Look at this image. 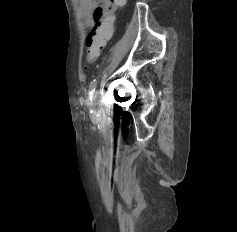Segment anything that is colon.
Here are the masks:
<instances>
[{
    "mask_svg": "<svg viewBox=\"0 0 237 232\" xmlns=\"http://www.w3.org/2000/svg\"><path fill=\"white\" fill-rule=\"evenodd\" d=\"M117 7L123 6L126 0H116ZM115 22V11H111L104 20L98 22L90 31L86 39L87 63L97 60L101 51L112 37Z\"/></svg>",
    "mask_w": 237,
    "mask_h": 232,
    "instance_id": "1",
    "label": "colon"
}]
</instances>
